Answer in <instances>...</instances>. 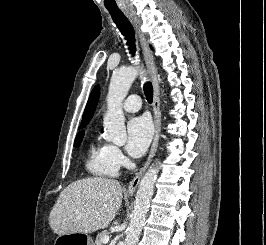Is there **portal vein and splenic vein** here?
<instances>
[{
  "label": "portal vein and splenic vein",
  "instance_id": "portal-vein-and-splenic-vein-1",
  "mask_svg": "<svg viewBox=\"0 0 266 245\" xmlns=\"http://www.w3.org/2000/svg\"><path fill=\"white\" fill-rule=\"evenodd\" d=\"M102 241H103V243H109V241H110L109 235H108V237H103Z\"/></svg>",
  "mask_w": 266,
  "mask_h": 245
}]
</instances>
